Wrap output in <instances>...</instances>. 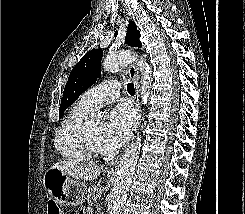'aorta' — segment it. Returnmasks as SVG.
I'll return each mask as SVG.
<instances>
[{"instance_id":"1","label":"aorta","mask_w":245,"mask_h":214,"mask_svg":"<svg viewBox=\"0 0 245 214\" xmlns=\"http://www.w3.org/2000/svg\"><path fill=\"white\" fill-rule=\"evenodd\" d=\"M136 60L139 66V70L142 74L141 98L143 103L146 104L150 94L152 77L151 68L145 60L137 59V57L130 52L120 51L108 55L104 60L103 68L105 71L112 72L114 70L124 68L129 63ZM99 120V115L96 114L91 116V122L98 123ZM140 147L141 139L138 137L126 148L120 160L116 181L112 190L111 214H122L127 194L135 174Z\"/></svg>"}]
</instances>
